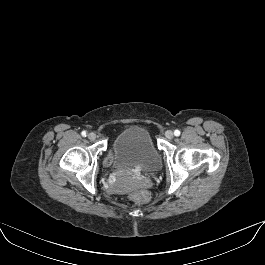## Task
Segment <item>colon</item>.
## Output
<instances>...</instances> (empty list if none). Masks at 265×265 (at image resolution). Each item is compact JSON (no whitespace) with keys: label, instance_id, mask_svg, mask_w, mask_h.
<instances>
[{"label":"colon","instance_id":"1","mask_svg":"<svg viewBox=\"0 0 265 265\" xmlns=\"http://www.w3.org/2000/svg\"><path fill=\"white\" fill-rule=\"evenodd\" d=\"M129 197L135 202L142 203L147 200V194L145 192H133L129 195Z\"/></svg>","mask_w":265,"mask_h":265}]
</instances>
